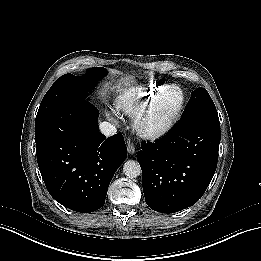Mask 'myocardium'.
Segmentation results:
<instances>
[{
  "label": "myocardium",
  "instance_id": "f54148a6",
  "mask_svg": "<svg viewBox=\"0 0 261 261\" xmlns=\"http://www.w3.org/2000/svg\"><path fill=\"white\" fill-rule=\"evenodd\" d=\"M161 94H158L155 98L151 99L149 104L134 117V122L137 128L148 129L150 127V121H147L146 117L148 113L154 108L156 104V98H158ZM183 104V97H179V102L176 110L164 121L163 125L158 129H163L166 125L170 124L179 114Z\"/></svg>",
  "mask_w": 261,
  "mask_h": 261
}]
</instances>
